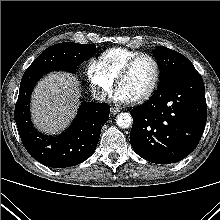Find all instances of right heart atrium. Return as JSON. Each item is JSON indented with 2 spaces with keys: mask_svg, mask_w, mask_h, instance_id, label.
Here are the masks:
<instances>
[{
  "mask_svg": "<svg viewBox=\"0 0 220 220\" xmlns=\"http://www.w3.org/2000/svg\"><path fill=\"white\" fill-rule=\"evenodd\" d=\"M87 75L92 89L98 98H106L112 91L114 79L111 78L98 60H92L87 68Z\"/></svg>",
  "mask_w": 220,
  "mask_h": 220,
  "instance_id": "1",
  "label": "right heart atrium"
}]
</instances>
